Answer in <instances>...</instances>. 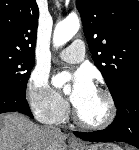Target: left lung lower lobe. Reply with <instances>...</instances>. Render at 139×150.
<instances>
[{"mask_svg":"<svg viewBox=\"0 0 139 150\" xmlns=\"http://www.w3.org/2000/svg\"><path fill=\"white\" fill-rule=\"evenodd\" d=\"M117 115L104 130L83 133L74 132L79 138L92 141L126 142L139 149V78L130 81L115 101Z\"/></svg>","mask_w":139,"mask_h":150,"instance_id":"obj_1","label":"left lung lower lobe"}]
</instances>
